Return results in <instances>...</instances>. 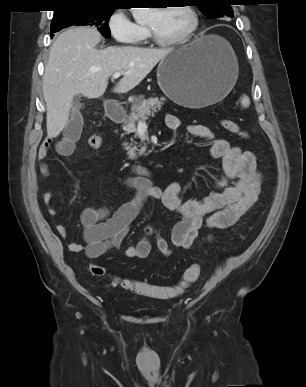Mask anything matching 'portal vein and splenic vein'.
<instances>
[{
  "instance_id": "obj_1",
  "label": "portal vein and splenic vein",
  "mask_w": 306,
  "mask_h": 387,
  "mask_svg": "<svg viewBox=\"0 0 306 387\" xmlns=\"http://www.w3.org/2000/svg\"><path fill=\"white\" fill-rule=\"evenodd\" d=\"M121 75H124V73L123 72H115L114 74H113V76H112V79H117V78H119ZM146 124H145V122H139L138 123V127H144Z\"/></svg>"
}]
</instances>
